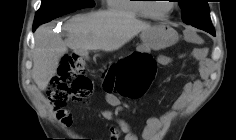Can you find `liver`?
I'll return each instance as SVG.
<instances>
[{
  "instance_id": "6515ba94",
  "label": "liver",
  "mask_w": 236,
  "mask_h": 140,
  "mask_svg": "<svg viewBox=\"0 0 236 140\" xmlns=\"http://www.w3.org/2000/svg\"><path fill=\"white\" fill-rule=\"evenodd\" d=\"M151 28L128 13L98 11L76 15L63 27L67 38L52 31L51 25H42L35 31L32 77L38 88L46 90L56 74L59 61L71 48L80 55L90 50L111 52L118 50L133 37Z\"/></svg>"
}]
</instances>
